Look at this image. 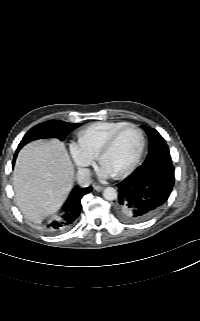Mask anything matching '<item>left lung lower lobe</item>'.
Here are the masks:
<instances>
[{
    "label": "left lung lower lobe",
    "instance_id": "1",
    "mask_svg": "<svg viewBox=\"0 0 200 321\" xmlns=\"http://www.w3.org/2000/svg\"><path fill=\"white\" fill-rule=\"evenodd\" d=\"M172 164H142L117 184L116 212L121 221L147 220L168 199L174 185Z\"/></svg>",
    "mask_w": 200,
    "mask_h": 321
}]
</instances>
